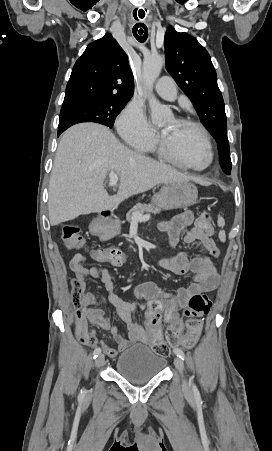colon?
Segmentation results:
<instances>
[{
	"mask_svg": "<svg viewBox=\"0 0 272 451\" xmlns=\"http://www.w3.org/2000/svg\"><path fill=\"white\" fill-rule=\"evenodd\" d=\"M196 225L201 230V239H212L214 234V224L212 221V215L208 211H203L196 221ZM62 240L66 243L68 250H79L82 243L81 229L76 224H68L63 227L61 233ZM211 249H214L209 245ZM96 256H103L106 254L107 258L111 260V266L118 268L121 264L125 263L126 255L119 249H108L105 251L103 247H96L94 249ZM84 258L83 253L77 252L73 255V258L69 259L68 264L71 267L81 270L83 268L82 260ZM213 300L206 295H194L188 302V307L184 310V317L189 321V333L191 336H196L201 328V317L208 313ZM149 321H152L149 319ZM179 331V328H177ZM80 339L87 346L93 347L95 342L93 340V330L88 329L79 335ZM169 339V341H168ZM168 339H147V348H153V351L158 356H168L170 347H194L196 340L194 338H182L179 340L175 338L173 334L168 336Z\"/></svg>",
	"mask_w": 272,
	"mask_h": 451,
	"instance_id": "obj_1",
	"label": "colon"
}]
</instances>
